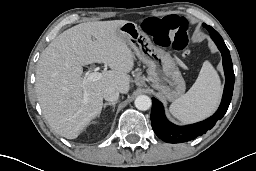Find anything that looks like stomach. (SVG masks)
I'll use <instances>...</instances> for the list:
<instances>
[{
  "instance_id": "stomach-1",
  "label": "stomach",
  "mask_w": 256,
  "mask_h": 171,
  "mask_svg": "<svg viewBox=\"0 0 256 171\" xmlns=\"http://www.w3.org/2000/svg\"><path fill=\"white\" fill-rule=\"evenodd\" d=\"M118 33L134 50L139 60L148 66L152 87L159 90L169 101H175L184 94L185 81L169 53L155 46L134 22L127 21L121 25Z\"/></svg>"
}]
</instances>
